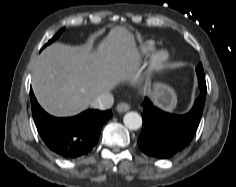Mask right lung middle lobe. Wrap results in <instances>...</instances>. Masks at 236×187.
I'll use <instances>...</instances> for the list:
<instances>
[{
    "label": "right lung middle lobe",
    "instance_id": "1",
    "mask_svg": "<svg viewBox=\"0 0 236 187\" xmlns=\"http://www.w3.org/2000/svg\"><path fill=\"white\" fill-rule=\"evenodd\" d=\"M63 30H64V28L60 29L59 32L51 40H49L48 44H51L52 42H54L60 36V34ZM46 46H47V44L44 47H46Z\"/></svg>",
    "mask_w": 236,
    "mask_h": 187
}]
</instances>
